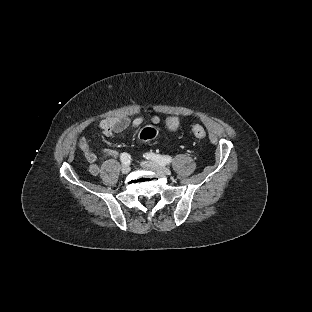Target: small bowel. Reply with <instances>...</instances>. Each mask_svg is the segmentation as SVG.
<instances>
[{
	"label": "small bowel",
	"mask_w": 312,
	"mask_h": 312,
	"mask_svg": "<svg viewBox=\"0 0 312 312\" xmlns=\"http://www.w3.org/2000/svg\"><path fill=\"white\" fill-rule=\"evenodd\" d=\"M143 121L144 119L142 117H136L133 120L128 117H109L99 122V128L104 136L112 137L123 132L130 126L134 128L141 126ZM151 122L154 125H158L160 123V118L158 116H153ZM78 146L87 161L89 173L93 176H97L100 173V166L97 163L96 155L90 147L88 139L82 137L78 142ZM104 153L108 156L117 155V151L112 148H105Z\"/></svg>",
	"instance_id": "c3829d8e"
}]
</instances>
